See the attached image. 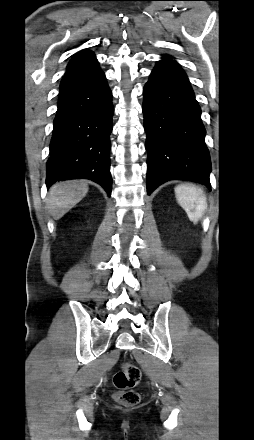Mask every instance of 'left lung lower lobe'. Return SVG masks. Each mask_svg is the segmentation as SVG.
Returning <instances> with one entry per match:
<instances>
[{
    "mask_svg": "<svg viewBox=\"0 0 254 440\" xmlns=\"http://www.w3.org/2000/svg\"><path fill=\"white\" fill-rule=\"evenodd\" d=\"M147 193L169 180H191L210 189L211 162L205 128L191 84L170 55L154 67L144 86Z\"/></svg>",
    "mask_w": 254,
    "mask_h": 440,
    "instance_id": "1",
    "label": "left lung lower lobe"
}]
</instances>
